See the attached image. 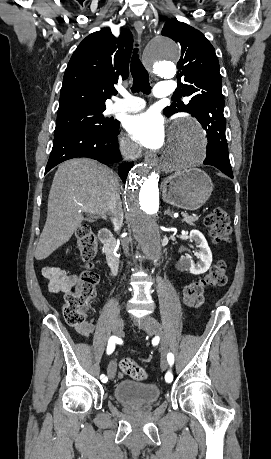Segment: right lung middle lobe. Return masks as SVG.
Masks as SVG:
<instances>
[{"label": "right lung middle lobe", "instance_id": "1", "mask_svg": "<svg viewBox=\"0 0 271 459\" xmlns=\"http://www.w3.org/2000/svg\"><path fill=\"white\" fill-rule=\"evenodd\" d=\"M106 107L83 106L57 114L54 136L77 129L108 130L118 124L102 114Z\"/></svg>", "mask_w": 271, "mask_h": 459}]
</instances>
